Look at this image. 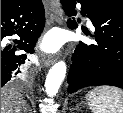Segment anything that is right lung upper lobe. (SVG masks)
<instances>
[{"instance_id":"1","label":"right lung upper lobe","mask_w":123,"mask_h":113,"mask_svg":"<svg viewBox=\"0 0 123 113\" xmlns=\"http://www.w3.org/2000/svg\"><path fill=\"white\" fill-rule=\"evenodd\" d=\"M21 1L22 0H1V11L9 9Z\"/></svg>"}]
</instances>
